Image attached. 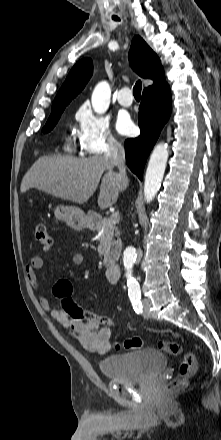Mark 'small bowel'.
<instances>
[{
    "instance_id": "c3829d8e",
    "label": "small bowel",
    "mask_w": 221,
    "mask_h": 440,
    "mask_svg": "<svg viewBox=\"0 0 221 440\" xmlns=\"http://www.w3.org/2000/svg\"><path fill=\"white\" fill-rule=\"evenodd\" d=\"M50 247H44V251H48ZM83 255L76 253L72 257V263L75 266L83 264ZM43 268V259L40 256H33L25 269L26 278L31 287L38 293V301L40 306L55 319L68 334L78 341L86 350L97 353H105L109 351L112 342L111 329H104L102 324H95L94 321H85L79 318L78 321H67L66 315L63 314L60 306L53 308L49 300L41 293L37 272ZM91 312V311H89Z\"/></svg>"
}]
</instances>
